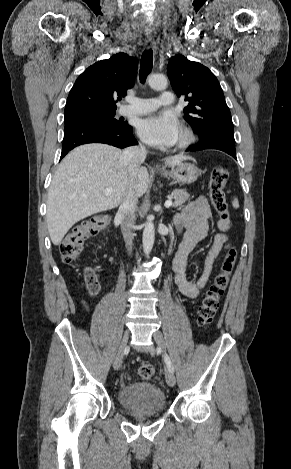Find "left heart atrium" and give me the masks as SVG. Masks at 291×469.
<instances>
[{
  "label": "left heart atrium",
  "instance_id": "left-heart-atrium-1",
  "mask_svg": "<svg viewBox=\"0 0 291 469\" xmlns=\"http://www.w3.org/2000/svg\"><path fill=\"white\" fill-rule=\"evenodd\" d=\"M137 132L146 143L155 147H167L177 142L180 127L172 115L160 113L141 119Z\"/></svg>",
  "mask_w": 291,
  "mask_h": 469
}]
</instances>
